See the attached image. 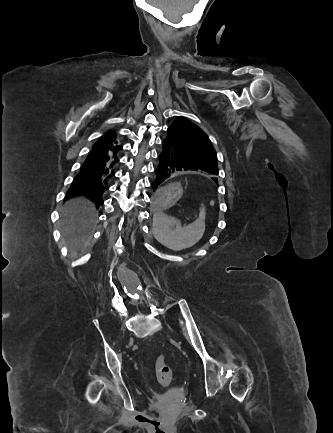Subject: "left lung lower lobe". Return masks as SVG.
Segmentation results:
<instances>
[{"mask_svg": "<svg viewBox=\"0 0 333 433\" xmlns=\"http://www.w3.org/2000/svg\"><path fill=\"white\" fill-rule=\"evenodd\" d=\"M159 165L155 173L156 179L152 183L153 191L161 189L163 182L178 172H207L218 174V171L207 164L195 159L176 146H172L168 139L162 142L161 153L158 156ZM213 180L216 181L215 178Z\"/></svg>", "mask_w": 333, "mask_h": 433, "instance_id": "obj_1", "label": "left lung lower lobe"}]
</instances>
